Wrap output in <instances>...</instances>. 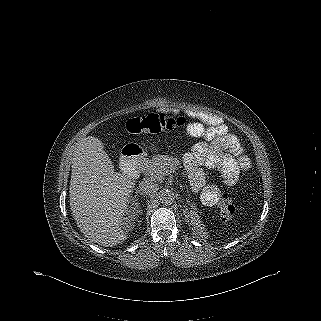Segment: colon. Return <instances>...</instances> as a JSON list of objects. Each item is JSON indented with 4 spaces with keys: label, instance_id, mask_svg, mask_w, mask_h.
I'll list each match as a JSON object with an SVG mask.
<instances>
[{
    "label": "colon",
    "instance_id": "colon-1",
    "mask_svg": "<svg viewBox=\"0 0 321 321\" xmlns=\"http://www.w3.org/2000/svg\"><path fill=\"white\" fill-rule=\"evenodd\" d=\"M191 122L184 116H174L164 113H152L143 117L133 118L127 121L126 128L129 133H159L163 130H171ZM233 194L225 191L220 199L219 206L221 216L224 220L230 219L235 213Z\"/></svg>",
    "mask_w": 321,
    "mask_h": 321
}]
</instances>
